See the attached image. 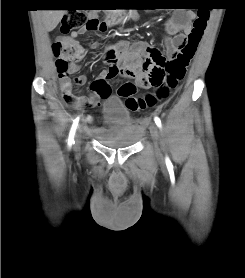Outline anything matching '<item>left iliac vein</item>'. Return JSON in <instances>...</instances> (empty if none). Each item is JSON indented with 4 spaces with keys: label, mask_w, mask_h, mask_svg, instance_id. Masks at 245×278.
I'll list each match as a JSON object with an SVG mask.
<instances>
[{
    "label": "left iliac vein",
    "mask_w": 245,
    "mask_h": 278,
    "mask_svg": "<svg viewBox=\"0 0 245 278\" xmlns=\"http://www.w3.org/2000/svg\"><path fill=\"white\" fill-rule=\"evenodd\" d=\"M150 133H151L152 139H153L154 144H155L156 153L159 157H161V151H160V148H159V140H160V137H161V133H160V131L157 128L156 125H151Z\"/></svg>",
    "instance_id": "obj_1"
}]
</instances>
